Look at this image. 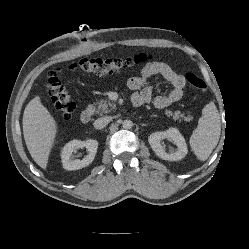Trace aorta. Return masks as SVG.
<instances>
[{
    "instance_id": "obj_1",
    "label": "aorta",
    "mask_w": 249,
    "mask_h": 249,
    "mask_svg": "<svg viewBox=\"0 0 249 249\" xmlns=\"http://www.w3.org/2000/svg\"><path fill=\"white\" fill-rule=\"evenodd\" d=\"M122 126L124 129H131L133 127V122L131 120L126 119L122 122Z\"/></svg>"
}]
</instances>
